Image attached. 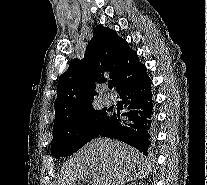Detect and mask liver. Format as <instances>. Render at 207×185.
<instances>
[{
	"instance_id": "liver-1",
	"label": "liver",
	"mask_w": 207,
	"mask_h": 185,
	"mask_svg": "<svg viewBox=\"0 0 207 185\" xmlns=\"http://www.w3.org/2000/svg\"><path fill=\"white\" fill-rule=\"evenodd\" d=\"M143 153L121 141L95 139L71 157L63 171V185L91 177L94 185H120L148 177Z\"/></svg>"
}]
</instances>
